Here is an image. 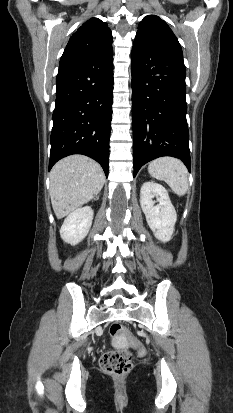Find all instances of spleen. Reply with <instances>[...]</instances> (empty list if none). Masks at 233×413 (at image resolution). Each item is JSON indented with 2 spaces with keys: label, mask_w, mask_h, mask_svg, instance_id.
<instances>
[{
  "label": "spleen",
  "mask_w": 233,
  "mask_h": 413,
  "mask_svg": "<svg viewBox=\"0 0 233 413\" xmlns=\"http://www.w3.org/2000/svg\"><path fill=\"white\" fill-rule=\"evenodd\" d=\"M150 175L158 180H164L178 196H183L188 190V172L185 165L176 158L161 157L148 165Z\"/></svg>",
  "instance_id": "1"
}]
</instances>
